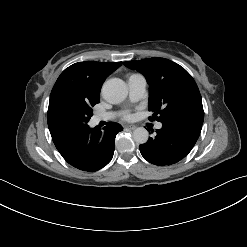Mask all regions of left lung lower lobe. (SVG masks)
I'll use <instances>...</instances> for the list:
<instances>
[{
  "label": "left lung lower lobe",
  "instance_id": "obj_1",
  "mask_svg": "<svg viewBox=\"0 0 247 247\" xmlns=\"http://www.w3.org/2000/svg\"><path fill=\"white\" fill-rule=\"evenodd\" d=\"M154 138L139 146L142 156L150 163L164 166L183 159L194 147L202 125L183 120L162 123Z\"/></svg>",
  "mask_w": 247,
  "mask_h": 247
}]
</instances>
